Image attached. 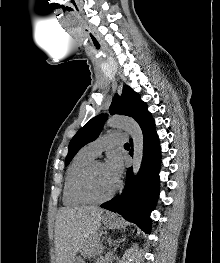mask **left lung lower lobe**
Segmentation results:
<instances>
[{
    "mask_svg": "<svg viewBox=\"0 0 220 263\" xmlns=\"http://www.w3.org/2000/svg\"><path fill=\"white\" fill-rule=\"evenodd\" d=\"M142 131L143 159L138 175L134 177L132 168H128L123 192L101 207L121 214L126 220L150 233V213L159 195L160 146L154 121ZM130 142L133 146L132 140ZM130 155H133V149L130 150Z\"/></svg>",
    "mask_w": 220,
    "mask_h": 263,
    "instance_id": "1",
    "label": "left lung lower lobe"
}]
</instances>
